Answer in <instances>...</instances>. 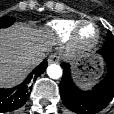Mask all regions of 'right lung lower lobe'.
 Returning a JSON list of instances; mask_svg holds the SVG:
<instances>
[{
    "instance_id": "98d812e1",
    "label": "right lung lower lobe",
    "mask_w": 114,
    "mask_h": 114,
    "mask_svg": "<svg viewBox=\"0 0 114 114\" xmlns=\"http://www.w3.org/2000/svg\"><path fill=\"white\" fill-rule=\"evenodd\" d=\"M47 65L45 59L20 85L11 89L0 88V113L12 112L24 105L31 93L30 82L36 80L46 70Z\"/></svg>"
}]
</instances>
